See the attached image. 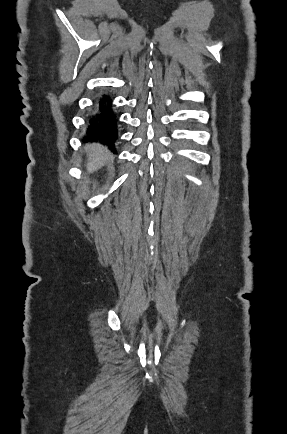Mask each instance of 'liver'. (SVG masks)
I'll use <instances>...</instances> for the list:
<instances>
[{
    "instance_id": "6515ba94",
    "label": "liver",
    "mask_w": 287,
    "mask_h": 434,
    "mask_svg": "<svg viewBox=\"0 0 287 434\" xmlns=\"http://www.w3.org/2000/svg\"><path fill=\"white\" fill-rule=\"evenodd\" d=\"M88 151L87 171L89 173L103 167L110 158L109 151L99 144L86 145Z\"/></svg>"
}]
</instances>
